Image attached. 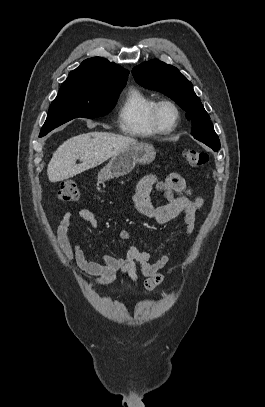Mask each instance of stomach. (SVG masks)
<instances>
[{"label": "stomach", "mask_w": 265, "mask_h": 407, "mask_svg": "<svg viewBox=\"0 0 265 407\" xmlns=\"http://www.w3.org/2000/svg\"><path fill=\"white\" fill-rule=\"evenodd\" d=\"M156 156L153 145L148 143H137L131 145L116 155L98 173V180L105 182L113 178L127 175L137 163H151Z\"/></svg>", "instance_id": "1"}]
</instances>
